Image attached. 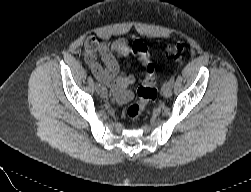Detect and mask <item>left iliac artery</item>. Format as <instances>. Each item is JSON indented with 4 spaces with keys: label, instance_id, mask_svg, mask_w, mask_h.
Listing matches in <instances>:
<instances>
[{
    "label": "left iliac artery",
    "instance_id": "obj_1",
    "mask_svg": "<svg viewBox=\"0 0 251 192\" xmlns=\"http://www.w3.org/2000/svg\"><path fill=\"white\" fill-rule=\"evenodd\" d=\"M174 80H175V77L172 76V77L170 78V80H169V83H170L171 85H173V84H174Z\"/></svg>",
    "mask_w": 251,
    "mask_h": 192
}]
</instances>
